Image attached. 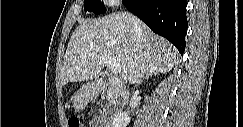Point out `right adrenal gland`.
I'll list each match as a JSON object with an SVG mask.
<instances>
[{
	"mask_svg": "<svg viewBox=\"0 0 243 127\" xmlns=\"http://www.w3.org/2000/svg\"><path fill=\"white\" fill-rule=\"evenodd\" d=\"M154 75L158 74L157 72L153 73ZM151 73H146L144 76H142V78L139 80L138 84H141L142 80L145 78L147 79L149 76H151Z\"/></svg>",
	"mask_w": 243,
	"mask_h": 127,
	"instance_id": "1",
	"label": "right adrenal gland"
}]
</instances>
